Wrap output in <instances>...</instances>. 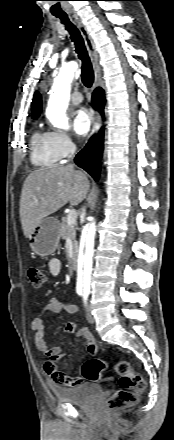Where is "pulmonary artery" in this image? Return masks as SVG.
Listing matches in <instances>:
<instances>
[{
	"label": "pulmonary artery",
	"instance_id": "obj_1",
	"mask_svg": "<svg viewBox=\"0 0 174 440\" xmlns=\"http://www.w3.org/2000/svg\"><path fill=\"white\" fill-rule=\"evenodd\" d=\"M82 100H83L82 94L78 91L73 92L70 96V101L75 105L80 104Z\"/></svg>",
	"mask_w": 174,
	"mask_h": 440
}]
</instances>
